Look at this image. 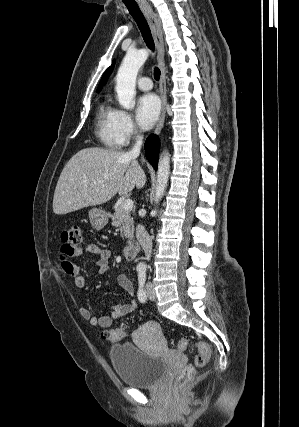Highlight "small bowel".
I'll use <instances>...</instances> for the list:
<instances>
[{
  "instance_id": "obj_1",
  "label": "small bowel",
  "mask_w": 299,
  "mask_h": 427,
  "mask_svg": "<svg viewBox=\"0 0 299 427\" xmlns=\"http://www.w3.org/2000/svg\"><path fill=\"white\" fill-rule=\"evenodd\" d=\"M83 253H89L96 257L95 266L99 274H105L108 271L110 251L95 243H87L83 245L65 244L61 247V267L63 272L74 278L75 286L79 290H83L86 286V280L81 274L80 267L73 263L70 259L81 256ZM116 284L129 294L133 293V284L130 278L125 274H118L115 278ZM137 307L134 300L124 304L115 305L110 315L97 317L92 314L91 310L85 306L79 308V314L82 319L88 321L91 325H98L101 328H109L114 320L120 319Z\"/></svg>"
}]
</instances>
